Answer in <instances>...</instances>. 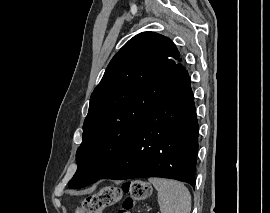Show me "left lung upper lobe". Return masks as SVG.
I'll return each instance as SVG.
<instances>
[{
	"instance_id": "5c2ea615",
	"label": "left lung upper lobe",
	"mask_w": 270,
	"mask_h": 213,
	"mask_svg": "<svg viewBox=\"0 0 270 213\" xmlns=\"http://www.w3.org/2000/svg\"><path fill=\"white\" fill-rule=\"evenodd\" d=\"M178 59L173 42L154 32L134 36L115 54L91 94L69 188L109 174L137 126L186 71Z\"/></svg>"
}]
</instances>
